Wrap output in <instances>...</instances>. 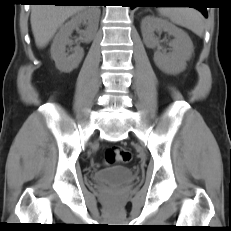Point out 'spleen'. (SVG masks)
<instances>
[{"label":"spleen","instance_id":"3e777b00","mask_svg":"<svg viewBox=\"0 0 231 231\" xmlns=\"http://www.w3.org/2000/svg\"><path fill=\"white\" fill-rule=\"evenodd\" d=\"M159 13L173 23L185 27L198 36L204 33V22L199 11L189 7H161Z\"/></svg>","mask_w":231,"mask_h":231}]
</instances>
